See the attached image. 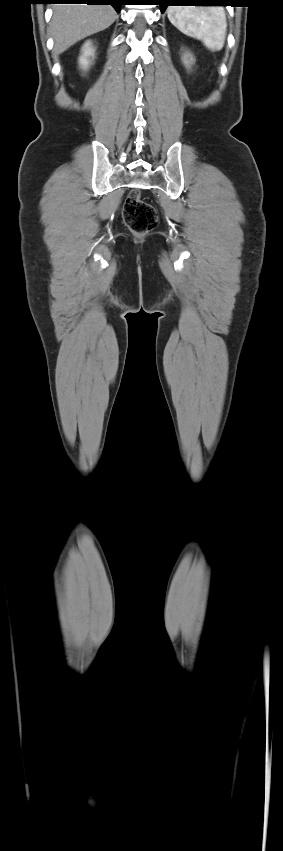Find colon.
<instances>
[{
    "instance_id": "colon-1",
    "label": "colon",
    "mask_w": 283,
    "mask_h": 851,
    "mask_svg": "<svg viewBox=\"0 0 283 851\" xmlns=\"http://www.w3.org/2000/svg\"><path fill=\"white\" fill-rule=\"evenodd\" d=\"M123 220L135 235H144L153 230L158 222L155 208L141 199L137 190H132L123 206Z\"/></svg>"
}]
</instances>
